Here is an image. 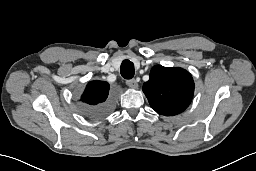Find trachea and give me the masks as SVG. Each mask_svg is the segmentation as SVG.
I'll list each match as a JSON object with an SVG mask.
<instances>
[{
  "label": "trachea",
  "instance_id": "1",
  "mask_svg": "<svg viewBox=\"0 0 256 171\" xmlns=\"http://www.w3.org/2000/svg\"><path fill=\"white\" fill-rule=\"evenodd\" d=\"M121 76L125 79L134 77V64L130 60H124L120 67Z\"/></svg>",
  "mask_w": 256,
  "mask_h": 171
}]
</instances>
